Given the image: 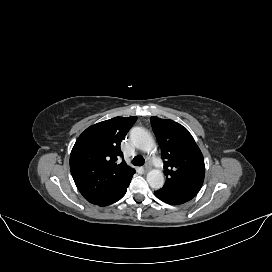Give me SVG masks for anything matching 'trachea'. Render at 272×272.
I'll list each match as a JSON object with an SVG mask.
<instances>
[{
	"instance_id": "trachea-1",
	"label": "trachea",
	"mask_w": 272,
	"mask_h": 272,
	"mask_svg": "<svg viewBox=\"0 0 272 272\" xmlns=\"http://www.w3.org/2000/svg\"><path fill=\"white\" fill-rule=\"evenodd\" d=\"M132 163L136 166L144 165V158L141 155H137L133 158Z\"/></svg>"
}]
</instances>
